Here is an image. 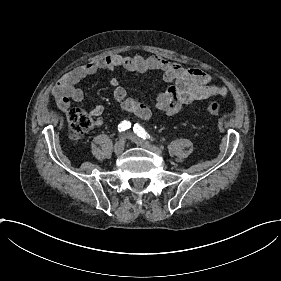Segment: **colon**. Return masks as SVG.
I'll list each match as a JSON object with an SVG mask.
<instances>
[{
	"mask_svg": "<svg viewBox=\"0 0 281 281\" xmlns=\"http://www.w3.org/2000/svg\"><path fill=\"white\" fill-rule=\"evenodd\" d=\"M202 110L208 116H218L222 113L223 106L218 101H207L203 104ZM70 121L78 140L84 141V135L91 129L90 118L82 113L74 112L70 115Z\"/></svg>",
	"mask_w": 281,
	"mask_h": 281,
	"instance_id": "obj_1",
	"label": "colon"
}]
</instances>
